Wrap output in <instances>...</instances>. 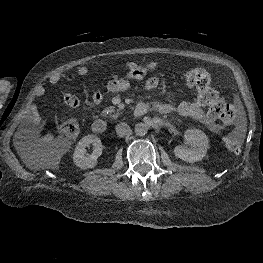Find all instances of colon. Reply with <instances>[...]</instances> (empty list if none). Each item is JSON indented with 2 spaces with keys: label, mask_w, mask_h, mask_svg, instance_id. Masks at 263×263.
Returning a JSON list of instances; mask_svg holds the SVG:
<instances>
[{
  "label": "colon",
  "mask_w": 263,
  "mask_h": 263,
  "mask_svg": "<svg viewBox=\"0 0 263 263\" xmlns=\"http://www.w3.org/2000/svg\"><path fill=\"white\" fill-rule=\"evenodd\" d=\"M183 80L186 85L196 89L199 101L208 108V115L223 124H230L235 117L234 107L220 99L216 90L212 87L211 76L205 69L195 68L184 73ZM61 130L68 138H76L80 127L77 120L70 118L61 125ZM243 135L241 131H232L224 138V144L228 151L238 153L242 147Z\"/></svg>",
  "instance_id": "1"
}]
</instances>
